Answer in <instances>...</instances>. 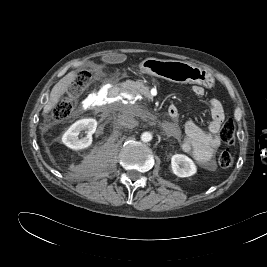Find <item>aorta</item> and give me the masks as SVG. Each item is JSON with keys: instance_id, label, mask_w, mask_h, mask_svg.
Returning <instances> with one entry per match:
<instances>
[{"instance_id": "aorta-1", "label": "aorta", "mask_w": 267, "mask_h": 267, "mask_svg": "<svg viewBox=\"0 0 267 267\" xmlns=\"http://www.w3.org/2000/svg\"><path fill=\"white\" fill-rule=\"evenodd\" d=\"M141 140L143 142H149L152 140V134L150 132H143L141 135Z\"/></svg>"}]
</instances>
